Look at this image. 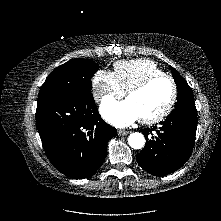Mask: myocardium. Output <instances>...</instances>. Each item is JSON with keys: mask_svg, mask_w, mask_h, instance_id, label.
<instances>
[{"mask_svg": "<svg viewBox=\"0 0 221 221\" xmlns=\"http://www.w3.org/2000/svg\"><path fill=\"white\" fill-rule=\"evenodd\" d=\"M161 78H165L169 80V82L171 83V86H172L171 98L166 104V106L158 114L152 117L140 118V121L144 124H154V123L160 122L172 110L173 106L176 103L177 96H178V88H177V84L174 78L166 73L154 74L145 78L144 80H142L141 82H139L138 84H136L135 86L131 87L129 90L126 91V97L128 98V96H130L131 94L138 93V92L145 90L151 83Z\"/></svg>", "mask_w": 221, "mask_h": 221, "instance_id": "myocardium-1", "label": "myocardium"}]
</instances>
